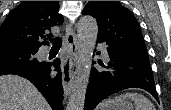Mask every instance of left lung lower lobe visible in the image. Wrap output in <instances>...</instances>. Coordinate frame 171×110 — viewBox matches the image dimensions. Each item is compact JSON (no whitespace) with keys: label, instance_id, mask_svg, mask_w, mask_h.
<instances>
[{"label":"left lung lower lobe","instance_id":"left-lung-lower-lobe-1","mask_svg":"<svg viewBox=\"0 0 171 110\" xmlns=\"http://www.w3.org/2000/svg\"><path fill=\"white\" fill-rule=\"evenodd\" d=\"M98 42L102 41L97 39ZM107 51L108 65L99 62L105 69L93 68L91 71L84 110H94L104 98L132 87L148 91L159 101L149 60L133 57L110 46Z\"/></svg>","mask_w":171,"mask_h":110}]
</instances>
